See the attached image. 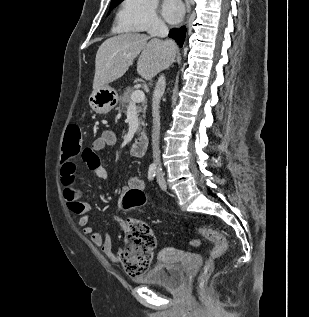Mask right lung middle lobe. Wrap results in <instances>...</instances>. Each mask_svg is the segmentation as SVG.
Segmentation results:
<instances>
[{"label":"right lung middle lobe","mask_w":309,"mask_h":317,"mask_svg":"<svg viewBox=\"0 0 309 317\" xmlns=\"http://www.w3.org/2000/svg\"><path fill=\"white\" fill-rule=\"evenodd\" d=\"M123 0H112L110 5V10H112L116 5H118Z\"/></svg>","instance_id":"dd1d6c3e"}]
</instances>
